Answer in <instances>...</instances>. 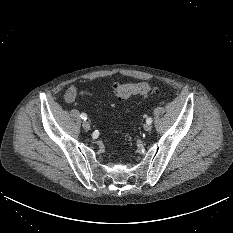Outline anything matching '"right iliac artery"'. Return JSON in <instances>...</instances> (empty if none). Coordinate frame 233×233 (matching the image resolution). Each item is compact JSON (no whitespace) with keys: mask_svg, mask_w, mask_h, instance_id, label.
<instances>
[{"mask_svg":"<svg viewBox=\"0 0 233 233\" xmlns=\"http://www.w3.org/2000/svg\"><path fill=\"white\" fill-rule=\"evenodd\" d=\"M80 116H81V118H82L83 120H86V119H87V115H86L85 113H82Z\"/></svg>","mask_w":233,"mask_h":233,"instance_id":"82829eb1","label":"right iliac artery"}]
</instances>
